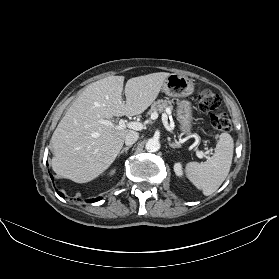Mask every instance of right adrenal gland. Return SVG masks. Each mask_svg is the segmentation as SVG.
I'll use <instances>...</instances> for the list:
<instances>
[{"label":"right adrenal gland","instance_id":"right-adrenal-gland-1","mask_svg":"<svg viewBox=\"0 0 279 279\" xmlns=\"http://www.w3.org/2000/svg\"><path fill=\"white\" fill-rule=\"evenodd\" d=\"M132 146H127V147H124L118 154V157L122 154V153H127V151L131 148Z\"/></svg>","mask_w":279,"mask_h":279}]
</instances>
